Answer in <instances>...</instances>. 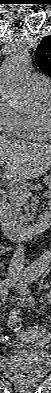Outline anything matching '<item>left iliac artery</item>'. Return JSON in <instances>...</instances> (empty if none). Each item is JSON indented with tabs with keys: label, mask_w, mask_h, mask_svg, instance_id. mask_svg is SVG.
<instances>
[{
	"label": "left iliac artery",
	"mask_w": 51,
	"mask_h": 393,
	"mask_svg": "<svg viewBox=\"0 0 51 393\" xmlns=\"http://www.w3.org/2000/svg\"><path fill=\"white\" fill-rule=\"evenodd\" d=\"M36 273H28L27 275L24 276V278L21 281V294H26L28 292V285L32 283L36 278H37ZM50 296L51 293L48 294V300L50 301Z\"/></svg>",
	"instance_id": "obj_1"
}]
</instances>
